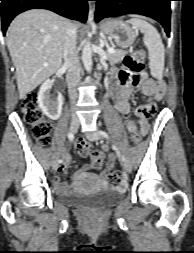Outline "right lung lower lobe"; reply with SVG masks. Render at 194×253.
Here are the masks:
<instances>
[{
  "label": "right lung lower lobe",
  "instance_id": "1",
  "mask_svg": "<svg viewBox=\"0 0 194 253\" xmlns=\"http://www.w3.org/2000/svg\"><path fill=\"white\" fill-rule=\"evenodd\" d=\"M2 13V30L5 35L12 19L29 9L42 8L51 10L69 19L86 21L88 0H0Z\"/></svg>",
  "mask_w": 194,
  "mask_h": 253
}]
</instances>
